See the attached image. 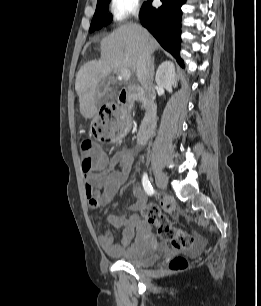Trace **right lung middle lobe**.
Wrapping results in <instances>:
<instances>
[{
  "mask_svg": "<svg viewBox=\"0 0 261 306\" xmlns=\"http://www.w3.org/2000/svg\"><path fill=\"white\" fill-rule=\"evenodd\" d=\"M111 0H98L89 31L92 32L108 25L112 21V15L108 14L109 2Z\"/></svg>",
  "mask_w": 261,
  "mask_h": 306,
  "instance_id": "1",
  "label": "right lung middle lobe"
}]
</instances>
